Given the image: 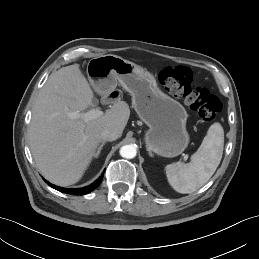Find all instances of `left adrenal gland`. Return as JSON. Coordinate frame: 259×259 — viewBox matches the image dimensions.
<instances>
[{
  "label": "left adrenal gland",
  "mask_w": 259,
  "mask_h": 259,
  "mask_svg": "<svg viewBox=\"0 0 259 259\" xmlns=\"http://www.w3.org/2000/svg\"><path fill=\"white\" fill-rule=\"evenodd\" d=\"M149 155H150V156H152V153H151V152H149Z\"/></svg>",
  "instance_id": "1"
}]
</instances>
